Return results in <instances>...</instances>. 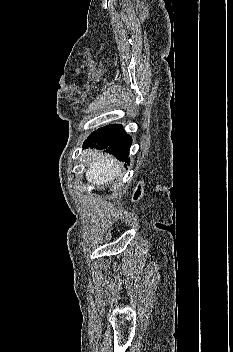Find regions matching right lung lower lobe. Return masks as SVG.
Segmentation results:
<instances>
[{
	"mask_svg": "<svg viewBox=\"0 0 233 352\" xmlns=\"http://www.w3.org/2000/svg\"><path fill=\"white\" fill-rule=\"evenodd\" d=\"M131 144V137L123 130L122 125L114 124L90 134L83 147L104 149L105 152L114 155L118 160L129 164L128 155Z\"/></svg>",
	"mask_w": 233,
	"mask_h": 352,
	"instance_id": "right-lung-lower-lobe-1",
	"label": "right lung lower lobe"
}]
</instances>
